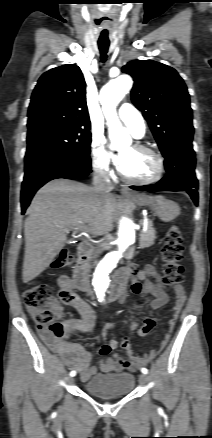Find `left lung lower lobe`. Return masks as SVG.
Segmentation results:
<instances>
[{
  "label": "left lung lower lobe",
  "instance_id": "0a47b994",
  "mask_svg": "<svg viewBox=\"0 0 212 438\" xmlns=\"http://www.w3.org/2000/svg\"><path fill=\"white\" fill-rule=\"evenodd\" d=\"M195 152L192 144L174 147L165 156L166 176L154 185L131 186L134 190L186 191L198 204V180L195 175Z\"/></svg>",
  "mask_w": 212,
  "mask_h": 438
}]
</instances>
